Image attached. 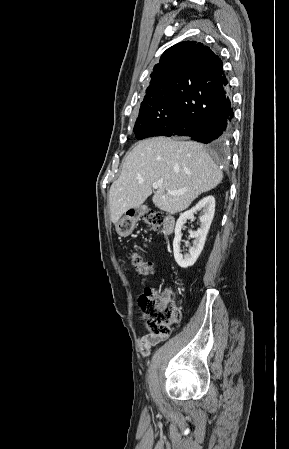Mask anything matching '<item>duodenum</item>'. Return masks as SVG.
Returning <instances> with one entry per match:
<instances>
[{
	"label": "duodenum",
	"instance_id": "duodenum-1",
	"mask_svg": "<svg viewBox=\"0 0 289 449\" xmlns=\"http://www.w3.org/2000/svg\"><path fill=\"white\" fill-rule=\"evenodd\" d=\"M174 225H175L174 218L171 216H167L163 222L162 228L163 234L165 236H169L174 230Z\"/></svg>",
	"mask_w": 289,
	"mask_h": 449
}]
</instances>
